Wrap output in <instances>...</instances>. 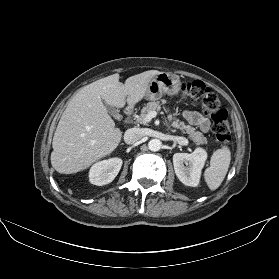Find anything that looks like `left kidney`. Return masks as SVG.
<instances>
[{
    "instance_id": "obj_1",
    "label": "left kidney",
    "mask_w": 279,
    "mask_h": 279,
    "mask_svg": "<svg viewBox=\"0 0 279 279\" xmlns=\"http://www.w3.org/2000/svg\"><path fill=\"white\" fill-rule=\"evenodd\" d=\"M207 159V153L202 148H196L192 153H175L173 165L178 179L187 186L199 184L201 172Z\"/></svg>"
}]
</instances>
